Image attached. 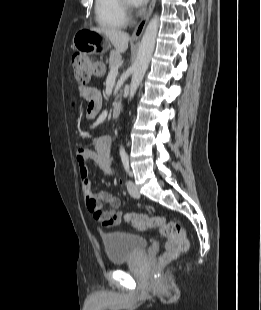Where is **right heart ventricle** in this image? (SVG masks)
<instances>
[{"instance_id":"right-heart-ventricle-1","label":"right heart ventricle","mask_w":261,"mask_h":310,"mask_svg":"<svg viewBox=\"0 0 261 310\" xmlns=\"http://www.w3.org/2000/svg\"><path fill=\"white\" fill-rule=\"evenodd\" d=\"M96 23L105 29H119L127 24V16L119 0H95Z\"/></svg>"}]
</instances>
